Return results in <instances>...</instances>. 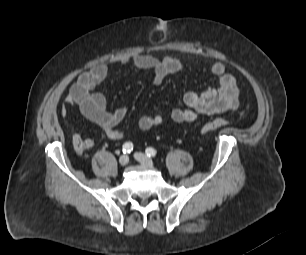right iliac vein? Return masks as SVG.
Returning <instances> with one entry per match:
<instances>
[{"label": "right iliac vein", "instance_id": "1", "mask_svg": "<svg viewBox=\"0 0 306 255\" xmlns=\"http://www.w3.org/2000/svg\"><path fill=\"white\" fill-rule=\"evenodd\" d=\"M129 162V158L127 155H122L120 158H119V164L121 166H126Z\"/></svg>", "mask_w": 306, "mask_h": 255}]
</instances>
